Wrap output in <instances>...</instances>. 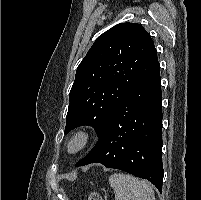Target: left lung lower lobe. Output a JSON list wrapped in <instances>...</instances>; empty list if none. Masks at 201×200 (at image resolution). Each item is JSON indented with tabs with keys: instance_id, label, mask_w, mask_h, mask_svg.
Listing matches in <instances>:
<instances>
[{
	"instance_id": "0a47b994",
	"label": "left lung lower lobe",
	"mask_w": 201,
	"mask_h": 200,
	"mask_svg": "<svg viewBox=\"0 0 201 200\" xmlns=\"http://www.w3.org/2000/svg\"><path fill=\"white\" fill-rule=\"evenodd\" d=\"M99 139L75 166L101 163L147 179L162 192V92L159 63L116 106Z\"/></svg>"
}]
</instances>
